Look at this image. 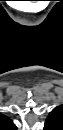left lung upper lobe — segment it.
I'll return each mask as SVG.
<instances>
[{
    "label": "left lung upper lobe",
    "instance_id": "5c2ea615",
    "mask_svg": "<svg viewBox=\"0 0 63 130\" xmlns=\"http://www.w3.org/2000/svg\"><path fill=\"white\" fill-rule=\"evenodd\" d=\"M44 130H63V106L55 107L48 115Z\"/></svg>",
    "mask_w": 63,
    "mask_h": 130
}]
</instances>
